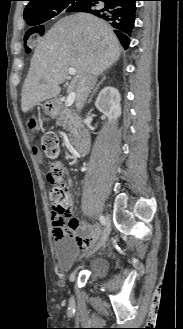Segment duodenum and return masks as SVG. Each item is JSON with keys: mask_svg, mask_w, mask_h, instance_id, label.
I'll use <instances>...</instances> for the list:
<instances>
[{"mask_svg": "<svg viewBox=\"0 0 183 329\" xmlns=\"http://www.w3.org/2000/svg\"><path fill=\"white\" fill-rule=\"evenodd\" d=\"M90 135L87 131H82L78 134L77 139L73 145L75 152L78 155H86L90 149Z\"/></svg>", "mask_w": 183, "mask_h": 329, "instance_id": "1", "label": "duodenum"}]
</instances>
